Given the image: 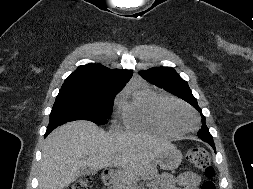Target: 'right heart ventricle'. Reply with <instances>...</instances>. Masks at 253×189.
<instances>
[{"mask_svg": "<svg viewBox=\"0 0 253 189\" xmlns=\"http://www.w3.org/2000/svg\"><path fill=\"white\" fill-rule=\"evenodd\" d=\"M169 99L166 95L148 86H134L120 97L124 125L131 130L143 131L163 136L176 133L159 118L158 109L162 102Z\"/></svg>", "mask_w": 253, "mask_h": 189, "instance_id": "obj_1", "label": "right heart ventricle"}]
</instances>
